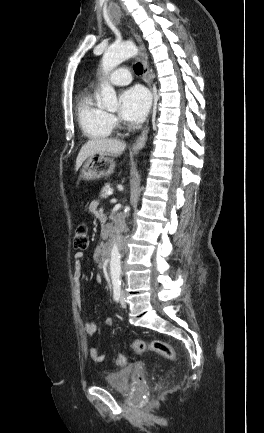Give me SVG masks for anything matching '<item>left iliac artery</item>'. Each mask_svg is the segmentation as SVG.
I'll list each match as a JSON object with an SVG mask.
<instances>
[{
	"label": "left iliac artery",
	"mask_w": 264,
	"mask_h": 433,
	"mask_svg": "<svg viewBox=\"0 0 264 433\" xmlns=\"http://www.w3.org/2000/svg\"><path fill=\"white\" fill-rule=\"evenodd\" d=\"M112 283H113L114 299L118 301L121 293V280L119 277H115L112 279Z\"/></svg>",
	"instance_id": "obj_1"
}]
</instances>
